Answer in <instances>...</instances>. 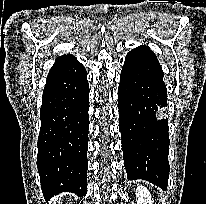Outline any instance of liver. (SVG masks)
I'll return each mask as SVG.
<instances>
[{
  "instance_id": "obj_1",
  "label": "liver",
  "mask_w": 206,
  "mask_h": 204,
  "mask_svg": "<svg viewBox=\"0 0 206 204\" xmlns=\"http://www.w3.org/2000/svg\"><path fill=\"white\" fill-rule=\"evenodd\" d=\"M64 196H65V194H62V195L60 196V198H61V197H64ZM59 204H60V201H59Z\"/></svg>"
}]
</instances>
